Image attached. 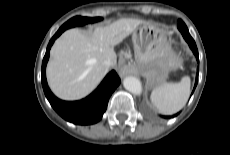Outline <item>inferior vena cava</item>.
Segmentation results:
<instances>
[{
  "label": "inferior vena cava",
  "instance_id": "602c4592",
  "mask_svg": "<svg viewBox=\"0 0 230 155\" xmlns=\"http://www.w3.org/2000/svg\"><path fill=\"white\" fill-rule=\"evenodd\" d=\"M116 63V58H106L104 61H103V65L106 67V68H109L111 66H114V64Z\"/></svg>",
  "mask_w": 230,
  "mask_h": 155
}]
</instances>
